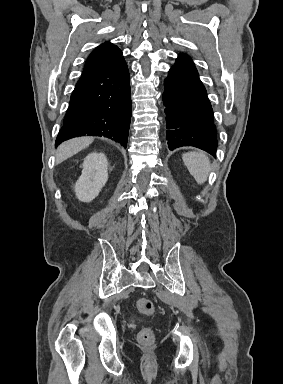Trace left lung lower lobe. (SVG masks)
I'll return each mask as SVG.
<instances>
[{"label": "left lung lower lobe", "mask_w": 283, "mask_h": 384, "mask_svg": "<svg viewBox=\"0 0 283 384\" xmlns=\"http://www.w3.org/2000/svg\"><path fill=\"white\" fill-rule=\"evenodd\" d=\"M166 139L170 150L200 148L216 157L217 132L207 92L191 58L179 54L164 80Z\"/></svg>", "instance_id": "obj_1"}]
</instances>
